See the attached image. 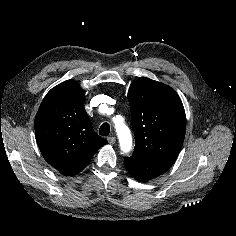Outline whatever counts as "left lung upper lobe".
<instances>
[{"mask_svg":"<svg viewBox=\"0 0 236 236\" xmlns=\"http://www.w3.org/2000/svg\"><path fill=\"white\" fill-rule=\"evenodd\" d=\"M134 155L170 164L182 147L186 119L183 104L169 86L139 78L129 91Z\"/></svg>","mask_w":236,"mask_h":236,"instance_id":"1","label":"left lung upper lobe"}]
</instances>
